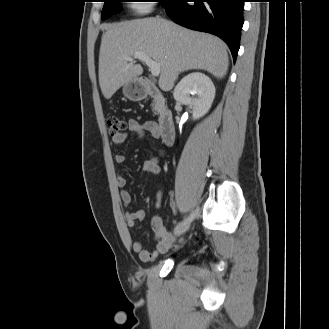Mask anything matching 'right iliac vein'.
Returning a JSON list of instances; mask_svg holds the SVG:
<instances>
[{
  "label": "right iliac vein",
  "instance_id": "obj_1",
  "mask_svg": "<svg viewBox=\"0 0 329 329\" xmlns=\"http://www.w3.org/2000/svg\"><path fill=\"white\" fill-rule=\"evenodd\" d=\"M190 224L191 222H185L184 224L178 225L174 230V235L180 236L185 233L189 229Z\"/></svg>",
  "mask_w": 329,
  "mask_h": 329
}]
</instances>
